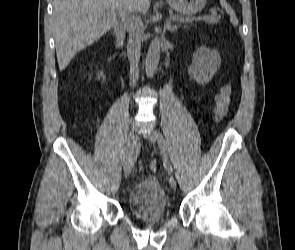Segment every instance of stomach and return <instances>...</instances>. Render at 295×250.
Returning a JSON list of instances; mask_svg holds the SVG:
<instances>
[{"mask_svg": "<svg viewBox=\"0 0 295 250\" xmlns=\"http://www.w3.org/2000/svg\"><path fill=\"white\" fill-rule=\"evenodd\" d=\"M206 1L207 0H167L172 9L186 15H193L201 11Z\"/></svg>", "mask_w": 295, "mask_h": 250, "instance_id": "obj_1", "label": "stomach"}]
</instances>
